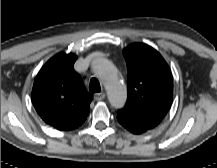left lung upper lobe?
<instances>
[{"mask_svg": "<svg viewBox=\"0 0 217 168\" xmlns=\"http://www.w3.org/2000/svg\"><path fill=\"white\" fill-rule=\"evenodd\" d=\"M123 53L129 69L128 99L117 119L143 133L158 126L169 111L173 78L166 61L151 46L133 43Z\"/></svg>", "mask_w": 217, "mask_h": 168, "instance_id": "5c2ea615", "label": "left lung upper lobe"}]
</instances>
